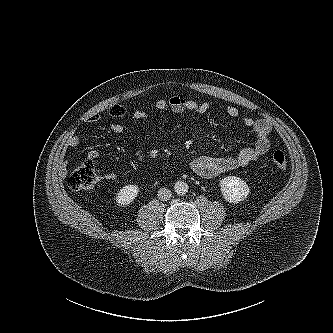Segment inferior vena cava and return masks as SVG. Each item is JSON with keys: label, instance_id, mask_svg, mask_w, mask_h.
<instances>
[{"label": "inferior vena cava", "instance_id": "obj_1", "mask_svg": "<svg viewBox=\"0 0 333 333\" xmlns=\"http://www.w3.org/2000/svg\"><path fill=\"white\" fill-rule=\"evenodd\" d=\"M157 195H158L159 200L167 201L171 198L172 193L167 188H160Z\"/></svg>", "mask_w": 333, "mask_h": 333}]
</instances>
